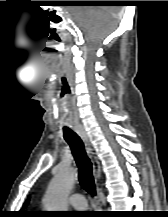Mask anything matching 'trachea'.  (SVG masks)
Masks as SVG:
<instances>
[{
	"label": "trachea",
	"instance_id": "1",
	"mask_svg": "<svg viewBox=\"0 0 168 217\" xmlns=\"http://www.w3.org/2000/svg\"><path fill=\"white\" fill-rule=\"evenodd\" d=\"M64 139L70 145L72 154L79 169V182L81 187L92 196L96 193L95 182L92 172V163L88 158L83 141L68 127L63 128Z\"/></svg>",
	"mask_w": 168,
	"mask_h": 217
}]
</instances>
